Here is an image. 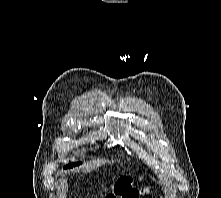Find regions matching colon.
Wrapping results in <instances>:
<instances>
[{
  "label": "colon",
  "instance_id": "1",
  "mask_svg": "<svg viewBox=\"0 0 221 198\" xmlns=\"http://www.w3.org/2000/svg\"><path fill=\"white\" fill-rule=\"evenodd\" d=\"M150 192L149 188L138 190L133 185V180L130 177H123L117 181L114 187V192L108 194L105 198H139L140 195Z\"/></svg>",
  "mask_w": 221,
  "mask_h": 198
}]
</instances>
